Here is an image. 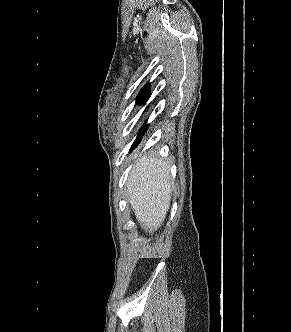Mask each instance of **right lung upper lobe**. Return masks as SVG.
Instances as JSON below:
<instances>
[{
    "label": "right lung upper lobe",
    "mask_w": 291,
    "mask_h": 332,
    "mask_svg": "<svg viewBox=\"0 0 291 332\" xmlns=\"http://www.w3.org/2000/svg\"><path fill=\"white\" fill-rule=\"evenodd\" d=\"M149 87H150V84L147 83L140 91L139 95L137 98H141V97H146L148 98L149 95H150V92H149Z\"/></svg>",
    "instance_id": "obj_1"
}]
</instances>
